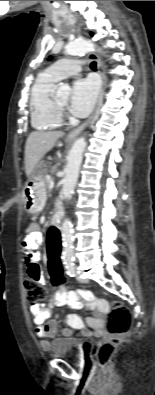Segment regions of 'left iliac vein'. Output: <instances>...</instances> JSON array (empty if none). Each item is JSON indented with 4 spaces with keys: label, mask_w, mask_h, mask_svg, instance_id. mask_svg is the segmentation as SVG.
I'll return each instance as SVG.
<instances>
[{
    "label": "left iliac vein",
    "mask_w": 155,
    "mask_h": 395,
    "mask_svg": "<svg viewBox=\"0 0 155 395\" xmlns=\"http://www.w3.org/2000/svg\"><path fill=\"white\" fill-rule=\"evenodd\" d=\"M77 280H78L79 282H81V283H86V282H87L86 279L81 278L79 275H77Z\"/></svg>",
    "instance_id": "4c4485c4"
}]
</instances>
